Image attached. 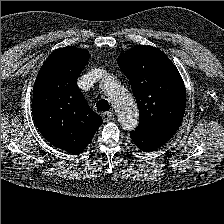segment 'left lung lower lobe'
I'll return each instance as SVG.
<instances>
[{"instance_id":"0a47b994","label":"left lung lower lobe","mask_w":224,"mask_h":224,"mask_svg":"<svg viewBox=\"0 0 224 224\" xmlns=\"http://www.w3.org/2000/svg\"><path fill=\"white\" fill-rule=\"evenodd\" d=\"M133 143L142 151H152L162 146L160 142L154 141L149 136L137 131L130 132Z\"/></svg>"}]
</instances>
